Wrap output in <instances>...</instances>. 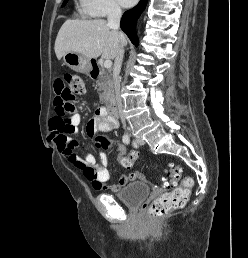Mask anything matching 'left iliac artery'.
<instances>
[{
    "label": "left iliac artery",
    "mask_w": 248,
    "mask_h": 258,
    "mask_svg": "<svg viewBox=\"0 0 248 258\" xmlns=\"http://www.w3.org/2000/svg\"><path fill=\"white\" fill-rule=\"evenodd\" d=\"M133 146H134V147H137L136 143L133 142Z\"/></svg>",
    "instance_id": "obj_1"
}]
</instances>
